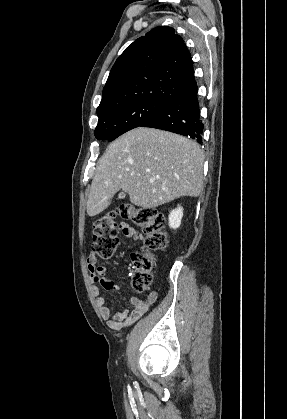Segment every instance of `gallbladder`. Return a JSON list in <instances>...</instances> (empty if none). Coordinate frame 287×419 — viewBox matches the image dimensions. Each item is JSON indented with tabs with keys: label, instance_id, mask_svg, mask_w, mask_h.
Instances as JSON below:
<instances>
[{
	"label": "gallbladder",
	"instance_id": "gallbladder-1",
	"mask_svg": "<svg viewBox=\"0 0 287 419\" xmlns=\"http://www.w3.org/2000/svg\"><path fill=\"white\" fill-rule=\"evenodd\" d=\"M126 197V193L125 192H120L119 194H118V199H123V198H125Z\"/></svg>",
	"mask_w": 287,
	"mask_h": 419
}]
</instances>
